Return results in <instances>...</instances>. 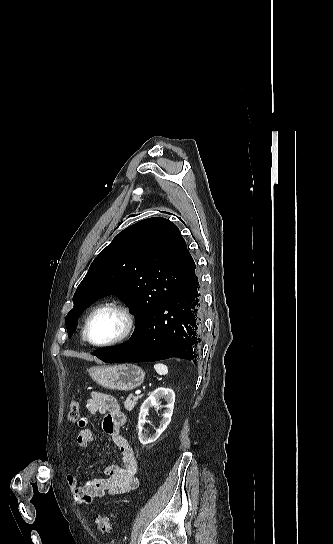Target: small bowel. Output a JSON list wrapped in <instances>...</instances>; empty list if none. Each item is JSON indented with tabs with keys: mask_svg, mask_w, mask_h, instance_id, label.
Returning a JSON list of instances; mask_svg holds the SVG:
<instances>
[{
	"mask_svg": "<svg viewBox=\"0 0 333 544\" xmlns=\"http://www.w3.org/2000/svg\"><path fill=\"white\" fill-rule=\"evenodd\" d=\"M86 409L89 414L104 415L103 430L119 448L121 465H107L103 470L104 477L91 479L84 484L79 483L76 475L69 474L67 484L75 502L80 505L91 504L96 498L105 495L127 493L139 486L136 456L121 431L126 422V416L116 399L109 394L93 392L86 401ZM78 426L77 443L80 447L87 448L95 440L94 432L84 418L78 420Z\"/></svg>",
	"mask_w": 333,
	"mask_h": 544,
	"instance_id": "1",
	"label": "small bowel"
}]
</instances>
